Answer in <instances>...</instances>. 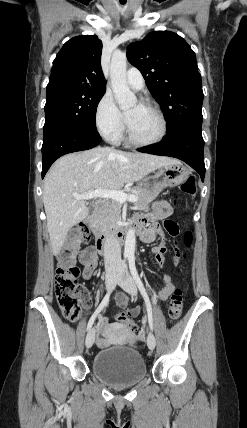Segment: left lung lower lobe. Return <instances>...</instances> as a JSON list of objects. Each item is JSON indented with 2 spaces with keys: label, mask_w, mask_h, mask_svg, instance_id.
<instances>
[{
  "label": "left lung lower lobe",
  "mask_w": 247,
  "mask_h": 428,
  "mask_svg": "<svg viewBox=\"0 0 247 428\" xmlns=\"http://www.w3.org/2000/svg\"><path fill=\"white\" fill-rule=\"evenodd\" d=\"M202 123L186 124L168 133L158 145L138 149L140 152L178 158L195 169L204 181V140L201 133Z\"/></svg>",
  "instance_id": "obj_1"
}]
</instances>
